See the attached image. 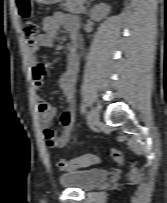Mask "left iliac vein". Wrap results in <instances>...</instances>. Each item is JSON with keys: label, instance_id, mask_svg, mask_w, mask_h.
<instances>
[{"label": "left iliac vein", "instance_id": "4c4485c4", "mask_svg": "<svg viewBox=\"0 0 167 203\" xmlns=\"http://www.w3.org/2000/svg\"><path fill=\"white\" fill-rule=\"evenodd\" d=\"M100 120V117H99V113L96 109H91L89 112H88V121L89 123L92 125V126H95L98 124Z\"/></svg>", "mask_w": 167, "mask_h": 203}]
</instances>
